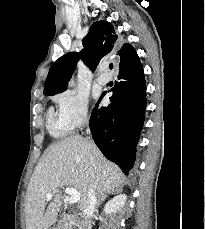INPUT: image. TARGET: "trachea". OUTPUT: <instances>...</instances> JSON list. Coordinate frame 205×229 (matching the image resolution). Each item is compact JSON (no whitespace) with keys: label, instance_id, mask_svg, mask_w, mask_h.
Here are the masks:
<instances>
[{"label":"trachea","instance_id":"obj_1","mask_svg":"<svg viewBox=\"0 0 205 229\" xmlns=\"http://www.w3.org/2000/svg\"><path fill=\"white\" fill-rule=\"evenodd\" d=\"M113 68V65H110V69H112Z\"/></svg>","mask_w":205,"mask_h":229}]
</instances>
